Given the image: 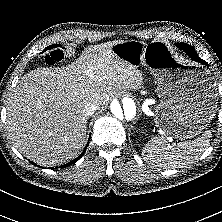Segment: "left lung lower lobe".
<instances>
[{
	"mask_svg": "<svg viewBox=\"0 0 222 222\" xmlns=\"http://www.w3.org/2000/svg\"><path fill=\"white\" fill-rule=\"evenodd\" d=\"M187 55H189L193 60H195L199 63L208 65L204 60H202L201 58H199L197 55H195L193 53H187Z\"/></svg>",
	"mask_w": 222,
	"mask_h": 222,
	"instance_id": "1",
	"label": "left lung lower lobe"
}]
</instances>
